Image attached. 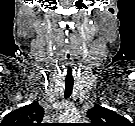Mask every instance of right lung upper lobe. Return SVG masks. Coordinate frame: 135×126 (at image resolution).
Listing matches in <instances>:
<instances>
[{"mask_svg": "<svg viewBox=\"0 0 135 126\" xmlns=\"http://www.w3.org/2000/svg\"><path fill=\"white\" fill-rule=\"evenodd\" d=\"M44 110L37 101L7 114L2 126H40Z\"/></svg>", "mask_w": 135, "mask_h": 126, "instance_id": "right-lung-upper-lobe-1", "label": "right lung upper lobe"}]
</instances>
